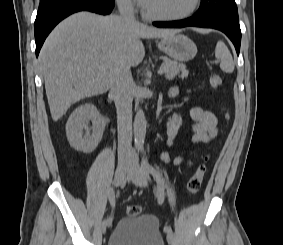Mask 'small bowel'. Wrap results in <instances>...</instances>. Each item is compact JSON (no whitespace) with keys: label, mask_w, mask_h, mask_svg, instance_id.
<instances>
[{"label":"small bowel","mask_w":283,"mask_h":245,"mask_svg":"<svg viewBox=\"0 0 283 245\" xmlns=\"http://www.w3.org/2000/svg\"><path fill=\"white\" fill-rule=\"evenodd\" d=\"M177 87H172L169 91L171 97L178 96ZM189 120L191 122L192 141L195 144H206L211 142L218 134L220 119L211 111L203 106L194 105L189 111ZM183 123V119L178 114H173L165 125V137L169 148L173 147L174 139L179 128ZM162 158L166 162H170L171 158L168 153H163ZM183 160L182 156L177 155L174 163L179 164Z\"/></svg>","instance_id":"obj_1"}]
</instances>
